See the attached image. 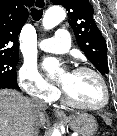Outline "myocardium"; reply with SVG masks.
<instances>
[{"instance_id":"1","label":"myocardium","mask_w":117,"mask_h":136,"mask_svg":"<svg viewBox=\"0 0 117 136\" xmlns=\"http://www.w3.org/2000/svg\"><path fill=\"white\" fill-rule=\"evenodd\" d=\"M73 72H89V73H92L98 79V81L100 82V85H101L102 90H103V99H102L101 103H99L97 105L82 104V103L74 101L68 95V93L65 91V89L63 88V90H62L63 100L68 105H70L74 108L86 110V111H98V110L105 108L107 106V104L109 103L110 93H109V88H108L107 82H106L105 78L103 77V75L98 70H96L95 68H92V67H89V66H78L73 70Z\"/></svg>"}]
</instances>
